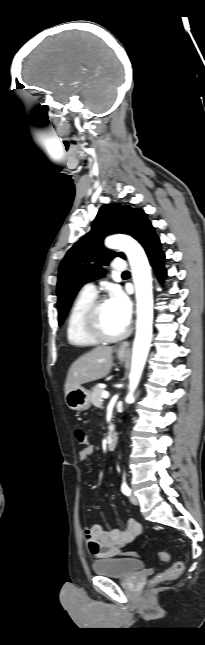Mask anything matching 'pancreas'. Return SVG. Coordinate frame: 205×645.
Segmentation results:
<instances>
[{
  "mask_svg": "<svg viewBox=\"0 0 205 645\" xmlns=\"http://www.w3.org/2000/svg\"><path fill=\"white\" fill-rule=\"evenodd\" d=\"M104 391L105 390L103 388H101L99 385H96L93 388V391H92V403H93L94 406H96V407H101L102 406V401H103L102 400V393Z\"/></svg>",
  "mask_w": 205,
  "mask_h": 645,
  "instance_id": "pancreas-1",
  "label": "pancreas"
}]
</instances>
